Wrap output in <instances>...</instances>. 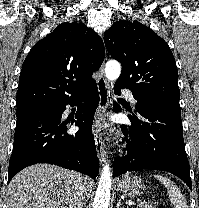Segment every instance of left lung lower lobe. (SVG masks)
<instances>
[{
  "instance_id": "0a47b994",
  "label": "left lung lower lobe",
  "mask_w": 199,
  "mask_h": 208,
  "mask_svg": "<svg viewBox=\"0 0 199 208\" xmlns=\"http://www.w3.org/2000/svg\"><path fill=\"white\" fill-rule=\"evenodd\" d=\"M124 87L114 86L116 94ZM140 115L128 116L131 126L122 125L128 156L113 163V175L150 169L173 173L192 190L190 169L183 139L181 110L136 106ZM114 110L120 111L118 104Z\"/></svg>"
}]
</instances>
